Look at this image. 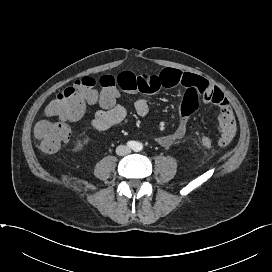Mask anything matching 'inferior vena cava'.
<instances>
[{
	"label": "inferior vena cava",
	"instance_id": "602c4592",
	"mask_svg": "<svg viewBox=\"0 0 272 272\" xmlns=\"http://www.w3.org/2000/svg\"><path fill=\"white\" fill-rule=\"evenodd\" d=\"M131 152V149L126 145H120L116 148V153L119 156L127 155Z\"/></svg>",
	"mask_w": 272,
	"mask_h": 272
}]
</instances>
